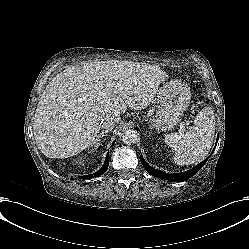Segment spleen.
I'll list each match as a JSON object with an SVG mask.
<instances>
[{
  "mask_svg": "<svg viewBox=\"0 0 249 249\" xmlns=\"http://www.w3.org/2000/svg\"><path fill=\"white\" fill-rule=\"evenodd\" d=\"M215 126L206 110H202L194 126L186 134L172 133L164 142L172 149L177 164H191L202 160L211 148Z\"/></svg>",
  "mask_w": 249,
  "mask_h": 249,
  "instance_id": "3e777b00",
  "label": "spleen"
}]
</instances>
